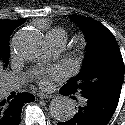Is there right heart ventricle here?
Listing matches in <instances>:
<instances>
[{"label":"right heart ventricle","mask_w":125,"mask_h":125,"mask_svg":"<svg viewBox=\"0 0 125 125\" xmlns=\"http://www.w3.org/2000/svg\"><path fill=\"white\" fill-rule=\"evenodd\" d=\"M50 33H60V34H63L65 37H66V32L64 29L62 28H59V27H56V28H53L49 31ZM48 32V33H49Z\"/></svg>","instance_id":"e07e8e85"}]
</instances>
